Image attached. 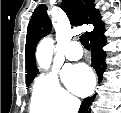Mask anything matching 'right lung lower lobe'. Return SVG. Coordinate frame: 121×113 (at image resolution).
I'll return each mask as SVG.
<instances>
[{
  "instance_id": "98d812e1",
  "label": "right lung lower lobe",
  "mask_w": 121,
  "mask_h": 113,
  "mask_svg": "<svg viewBox=\"0 0 121 113\" xmlns=\"http://www.w3.org/2000/svg\"><path fill=\"white\" fill-rule=\"evenodd\" d=\"M106 44V37L104 36V28L97 34L90 37V46L92 50V67L95 68L98 75L99 82L103 79V72L105 71L106 64L104 62L105 52L102 50ZM95 96L85 98L80 107L79 113H90V105Z\"/></svg>"
}]
</instances>
